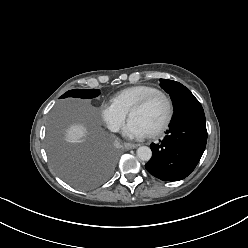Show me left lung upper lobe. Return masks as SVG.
Instances as JSON below:
<instances>
[{"mask_svg": "<svg viewBox=\"0 0 248 248\" xmlns=\"http://www.w3.org/2000/svg\"><path fill=\"white\" fill-rule=\"evenodd\" d=\"M160 85L167 93L170 94L174 109H176L185 98L193 95L188 88L173 80L160 79Z\"/></svg>", "mask_w": 248, "mask_h": 248, "instance_id": "obj_1", "label": "left lung upper lobe"}]
</instances>
